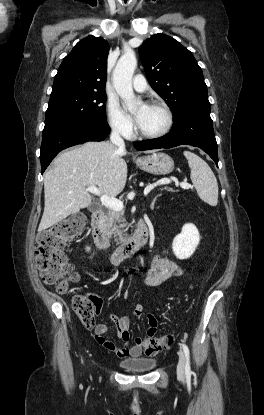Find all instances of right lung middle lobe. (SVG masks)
I'll use <instances>...</instances> for the list:
<instances>
[{
  "mask_svg": "<svg viewBox=\"0 0 264 415\" xmlns=\"http://www.w3.org/2000/svg\"><path fill=\"white\" fill-rule=\"evenodd\" d=\"M105 92H64L50 97L45 127L73 121H107Z\"/></svg>",
  "mask_w": 264,
  "mask_h": 415,
  "instance_id": "1",
  "label": "right lung middle lobe"
}]
</instances>
